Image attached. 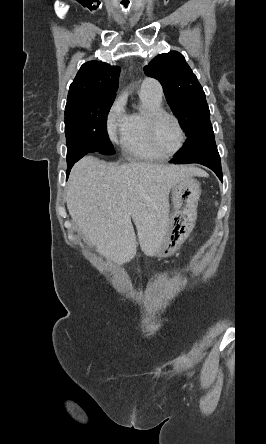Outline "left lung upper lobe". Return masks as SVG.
Returning a JSON list of instances; mask_svg holds the SVG:
<instances>
[{
  "instance_id": "5c2ea615",
  "label": "left lung upper lobe",
  "mask_w": 266,
  "mask_h": 444,
  "mask_svg": "<svg viewBox=\"0 0 266 444\" xmlns=\"http://www.w3.org/2000/svg\"><path fill=\"white\" fill-rule=\"evenodd\" d=\"M143 70L161 83L167 102L188 137L211 124L203 88L181 53L160 54Z\"/></svg>"
}]
</instances>
